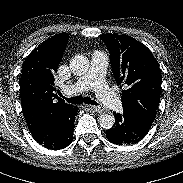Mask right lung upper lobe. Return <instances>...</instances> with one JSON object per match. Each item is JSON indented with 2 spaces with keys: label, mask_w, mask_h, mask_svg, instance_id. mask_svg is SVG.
Masks as SVG:
<instances>
[{
  "label": "right lung upper lobe",
  "mask_w": 183,
  "mask_h": 183,
  "mask_svg": "<svg viewBox=\"0 0 183 183\" xmlns=\"http://www.w3.org/2000/svg\"><path fill=\"white\" fill-rule=\"evenodd\" d=\"M69 35L60 33L35 48L22 65L19 79L22 110L30 124L40 114L67 116L77 106L65 103L54 85L57 67L63 57Z\"/></svg>",
  "instance_id": "right-lung-upper-lobe-1"
}]
</instances>
